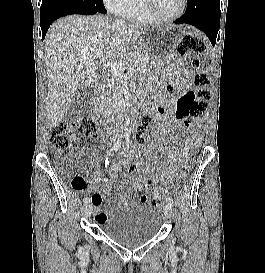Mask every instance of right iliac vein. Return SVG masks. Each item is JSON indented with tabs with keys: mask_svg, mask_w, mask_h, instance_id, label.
Here are the masks:
<instances>
[{
	"mask_svg": "<svg viewBox=\"0 0 265 273\" xmlns=\"http://www.w3.org/2000/svg\"><path fill=\"white\" fill-rule=\"evenodd\" d=\"M91 214H92V205H91V204H88V205H86V207H85V215H86L87 217H90Z\"/></svg>",
	"mask_w": 265,
	"mask_h": 273,
	"instance_id": "1",
	"label": "right iliac vein"
}]
</instances>
